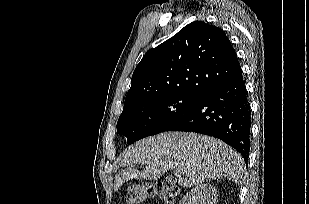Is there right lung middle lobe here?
<instances>
[{"mask_svg":"<svg viewBox=\"0 0 309 204\" xmlns=\"http://www.w3.org/2000/svg\"><path fill=\"white\" fill-rule=\"evenodd\" d=\"M198 98V95L192 94H166L126 104L117 122V132L127 137L128 144L164 132Z\"/></svg>","mask_w":309,"mask_h":204,"instance_id":"dd1d6c3e","label":"right lung middle lobe"}]
</instances>
